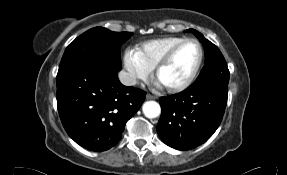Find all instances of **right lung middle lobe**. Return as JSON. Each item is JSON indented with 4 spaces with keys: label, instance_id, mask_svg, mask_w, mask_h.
Listing matches in <instances>:
<instances>
[{
    "label": "right lung middle lobe",
    "instance_id": "dd1d6c3e",
    "mask_svg": "<svg viewBox=\"0 0 287 175\" xmlns=\"http://www.w3.org/2000/svg\"><path fill=\"white\" fill-rule=\"evenodd\" d=\"M130 32H112L103 27L92 28L77 37L66 48L58 72L80 64H95L110 70H121L120 47Z\"/></svg>",
    "mask_w": 287,
    "mask_h": 175
}]
</instances>
